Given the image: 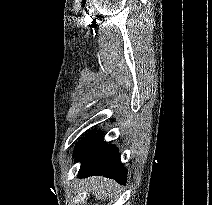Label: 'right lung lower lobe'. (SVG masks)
Returning a JSON list of instances; mask_svg holds the SVG:
<instances>
[{
  "instance_id": "1",
  "label": "right lung lower lobe",
  "mask_w": 212,
  "mask_h": 205,
  "mask_svg": "<svg viewBox=\"0 0 212 205\" xmlns=\"http://www.w3.org/2000/svg\"><path fill=\"white\" fill-rule=\"evenodd\" d=\"M75 150L77 161L81 162L78 173L80 178L103 175L125 184L127 171L121 164L118 149L105 142L99 132L88 133L79 141Z\"/></svg>"
}]
</instances>
